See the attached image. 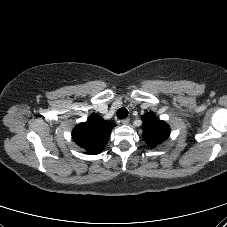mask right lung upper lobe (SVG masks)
<instances>
[{
    "label": "right lung upper lobe",
    "instance_id": "obj_1",
    "mask_svg": "<svg viewBox=\"0 0 227 227\" xmlns=\"http://www.w3.org/2000/svg\"><path fill=\"white\" fill-rule=\"evenodd\" d=\"M115 127L114 122L106 121L97 114H92L86 122L78 124L72 131L75 143L87 154H99L106 146L107 139Z\"/></svg>",
    "mask_w": 227,
    "mask_h": 227
}]
</instances>
